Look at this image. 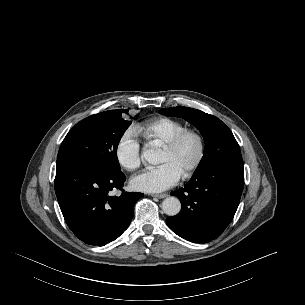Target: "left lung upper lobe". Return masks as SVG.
I'll use <instances>...</instances> for the list:
<instances>
[{"instance_id":"left-lung-upper-lobe-1","label":"left lung upper lobe","mask_w":305,"mask_h":305,"mask_svg":"<svg viewBox=\"0 0 305 305\" xmlns=\"http://www.w3.org/2000/svg\"><path fill=\"white\" fill-rule=\"evenodd\" d=\"M159 113L166 116H181L202 133L205 141L204 155L194 174L203 172L228 158L241 156L232 132L215 116L183 106L160 109Z\"/></svg>"}]
</instances>
